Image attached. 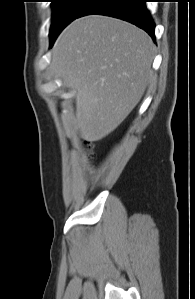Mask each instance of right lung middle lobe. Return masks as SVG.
Instances as JSON below:
<instances>
[{
    "label": "right lung middle lobe",
    "mask_w": 195,
    "mask_h": 299,
    "mask_svg": "<svg viewBox=\"0 0 195 299\" xmlns=\"http://www.w3.org/2000/svg\"><path fill=\"white\" fill-rule=\"evenodd\" d=\"M92 0H52L51 44L59 33L85 9Z\"/></svg>",
    "instance_id": "right-lung-middle-lobe-1"
}]
</instances>
